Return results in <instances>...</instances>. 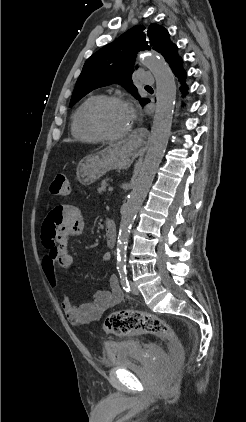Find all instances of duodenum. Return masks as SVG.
<instances>
[{"label":"duodenum","mask_w":246,"mask_h":422,"mask_svg":"<svg viewBox=\"0 0 246 422\" xmlns=\"http://www.w3.org/2000/svg\"><path fill=\"white\" fill-rule=\"evenodd\" d=\"M105 240L109 248H114L116 245V226L112 220H107L105 223Z\"/></svg>","instance_id":"duodenum-1"}]
</instances>
